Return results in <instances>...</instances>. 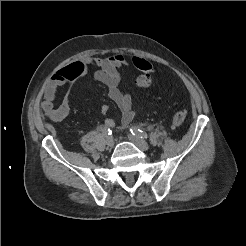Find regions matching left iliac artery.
<instances>
[{
    "label": "left iliac artery",
    "instance_id": "1",
    "mask_svg": "<svg viewBox=\"0 0 246 246\" xmlns=\"http://www.w3.org/2000/svg\"><path fill=\"white\" fill-rule=\"evenodd\" d=\"M130 131H131V133H132L134 136H139V137H141V138H147V137H148L146 132H144L143 130H141V129L135 127V126H132V127L130 128Z\"/></svg>",
    "mask_w": 246,
    "mask_h": 246
}]
</instances>
